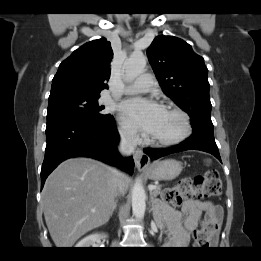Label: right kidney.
<instances>
[{
    "instance_id": "obj_1",
    "label": "right kidney",
    "mask_w": 261,
    "mask_h": 261,
    "mask_svg": "<svg viewBox=\"0 0 261 261\" xmlns=\"http://www.w3.org/2000/svg\"><path fill=\"white\" fill-rule=\"evenodd\" d=\"M105 234H91L85 238H83L82 240H80L77 244H76V248H89V247H94L95 246V242L99 239V238H105Z\"/></svg>"
}]
</instances>
